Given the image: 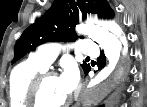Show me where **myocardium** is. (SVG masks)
I'll return each instance as SVG.
<instances>
[{
	"label": "myocardium",
	"instance_id": "f54148a6",
	"mask_svg": "<svg viewBox=\"0 0 147 107\" xmlns=\"http://www.w3.org/2000/svg\"><path fill=\"white\" fill-rule=\"evenodd\" d=\"M52 77H56V73L48 69H45L35 76L27 92V104L29 107H66L70 104V99H67L57 105H47L42 101V86L47 79Z\"/></svg>",
	"mask_w": 147,
	"mask_h": 107
}]
</instances>
